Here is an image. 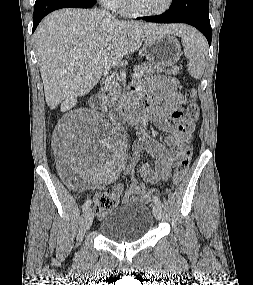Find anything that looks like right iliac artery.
I'll return each mask as SVG.
<instances>
[{"label": "right iliac artery", "mask_w": 253, "mask_h": 285, "mask_svg": "<svg viewBox=\"0 0 253 285\" xmlns=\"http://www.w3.org/2000/svg\"><path fill=\"white\" fill-rule=\"evenodd\" d=\"M90 205H91V201H90V200H87V201L84 203V205L82 206L83 211L86 212V211L89 209Z\"/></svg>", "instance_id": "right-iliac-artery-1"}]
</instances>
